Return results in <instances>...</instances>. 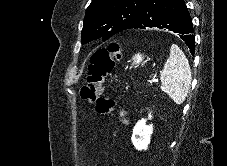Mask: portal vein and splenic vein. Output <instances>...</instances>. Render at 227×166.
<instances>
[{"label":"portal vein and splenic vein","mask_w":227,"mask_h":166,"mask_svg":"<svg viewBox=\"0 0 227 166\" xmlns=\"http://www.w3.org/2000/svg\"><path fill=\"white\" fill-rule=\"evenodd\" d=\"M156 82H158V79H155V78L150 81V83H156Z\"/></svg>","instance_id":"obj_1"}]
</instances>
